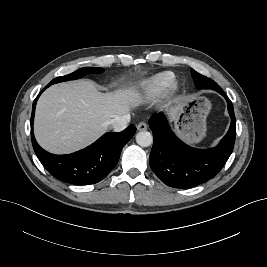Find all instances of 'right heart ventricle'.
<instances>
[{
  "label": "right heart ventricle",
  "instance_id": "obj_1",
  "mask_svg": "<svg viewBox=\"0 0 267 267\" xmlns=\"http://www.w3.org/2000/svg\"><path fill=\"white\" fill-rule=\"evenodd\" d=\"M175 82V75L166 71L158 73L138 86V94L145 98H154L164 93Z\"/></svg>",
  "mask_w": 267,
  "mask_h": 267
}]
</instances>
